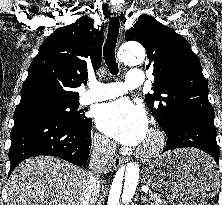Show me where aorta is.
Here are the masks:
<instances>
[{
    "mask_svg": "<svg viewBox=\"0 0 222 205\" xmlns=\"http://www.w3.org/2000/svg\"><path fill=\"white\" fill-rule=\"evenodd\" d=\"M144 57L145 50L138 43L125 44L124 50L120 54L121 61L129 66L142 63ZM140 176V165L136 162H130L126 166L121 167L112 181L107 205L128 204L137 192Z\"/></svg>",
    "mask_w": 222,
    "mask_h": 205,
    "instance_id": "1",
    "label": "aorta"
}]
</instances>
